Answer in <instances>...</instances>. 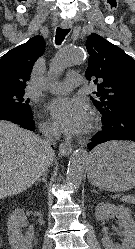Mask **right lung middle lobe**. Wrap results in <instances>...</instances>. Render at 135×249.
Returning a JSON list of instances; mask_svg holds the SVG:
<instances>
[{
	"label": "right lung middle lobe",
	"instance_id": "1",
	"mask_svg": "<svg viewBox=\"0 0 135 249\" xmlns=\"http://www.w3.org/2000/svg\"><path fill=\"white\" fill-rule=\"evenodd\" d=\"M25 91H0V103L11 104L31 112L29 99L24 97Z\"/></svg>",
	"mask_w": 135,
	"mask_h": 249
}]
</instances>
